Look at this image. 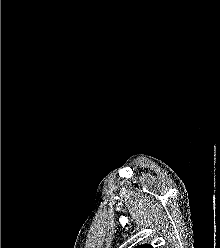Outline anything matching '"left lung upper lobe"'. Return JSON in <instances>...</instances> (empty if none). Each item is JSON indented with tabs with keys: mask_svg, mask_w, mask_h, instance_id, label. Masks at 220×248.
<instances>
[{
	"mask_svg": "<svg viewBox=\"0 0 220 248\" xmlns=\"http://www.w3.org/2000/svg\"><path fill=\"white\" fill-rule=\"evenodd\" d=\"M136 248H153L150 244L139 245Z\"/></svg>",
	"mask_w": 220,
	"mask_h": 248,
	"instance_id": "1",
	"label": "left lung upper lobe"
}]
</instances>
